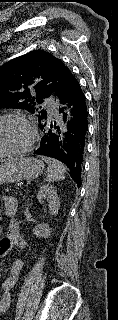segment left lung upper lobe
<instances>
[{"mask_svg":"<svg viewBox=\"0 0 118 320\" xmlns=\"http://www.w3.org/2000/svg\"><path fill=\"white\" fill-rule=\"evenodd\" d=\"M72 76L49 52L34 50L17 57L0 68V108L26 109L40 121L47 115L40 104L51 94L58 96Z\"/></svg>","mask_w":118,"mask_h":320,"instance_id":"1","label":"left lung upper lobe"}]
</instances>
